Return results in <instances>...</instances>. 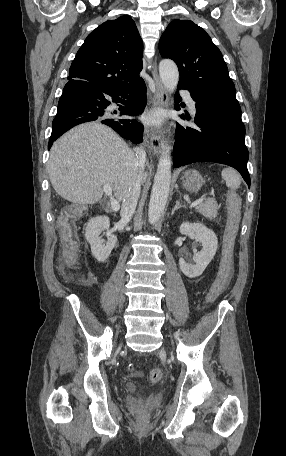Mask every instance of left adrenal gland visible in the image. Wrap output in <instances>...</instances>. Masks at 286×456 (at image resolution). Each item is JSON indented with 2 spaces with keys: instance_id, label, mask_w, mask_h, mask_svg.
<instances>
[{
  "instance_id": "1",
  "label": "left adrenal gland",
  "mask_w": 286,
  "mask_h": 456,
  "mask_svg": "<svg viewBox=\"0 0 286 456\" xmlns=\"http://www.w3.org/2000/svg\"><path fill=\"white\" fill-rule=\"evenodd\" d=\"M181 207H185V205H181V204H180V201H179V200H177V201H176V205H175V207L172 209V213H171V215H173V214H174V212H175L177 209L181 208Z\"/></svg>"
}]
</instances>
